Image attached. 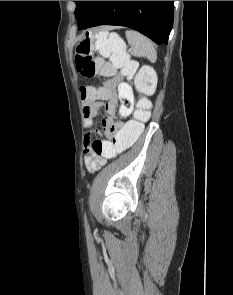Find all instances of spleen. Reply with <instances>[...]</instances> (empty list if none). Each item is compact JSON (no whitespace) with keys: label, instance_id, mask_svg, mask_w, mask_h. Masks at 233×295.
Here are the masks:
<instances>
[{"label":"spleen","instance_id":"spleen-1","mask_svg":"<svg viewBox=\"0 0 233 295\" xmlns=\"http://www.w3.org/2000/svg\"><path fill=\"white\" fill-rule=\"evenodd\" d=\"M126 38L132 48V55L137 57H147L151 62H155L157 53L153 43L149 38L135 30H127ZM97 47L102 56L109 57L115 66H121L125 57V43L116 33L107 34L102 32L97 36Z\"/></svg>","mask_w":233,"mask_h":295}]
</instances>
